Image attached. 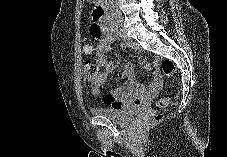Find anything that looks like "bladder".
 Returning a JSON list of instances; mask_svg holds the SVG:
<instances>
[{
  "label": "bladder",
  "instance_id": "obj_1",
  "mask_svg": "<svg viewBox=\"0 0 227 157\" xmlns=\"http://www.w3.org/2000/svg\"><path fill=\"white\" fill-rule=\"evenodd\" d=\"M92 111L96 115L105 117L119 124H127L142 114V110H140L139 107L122 109H115L111 107H95L92 109Z\"/></svg>",
  "mask_w": 227,
  "mask_h": 157
}]
</instances>
